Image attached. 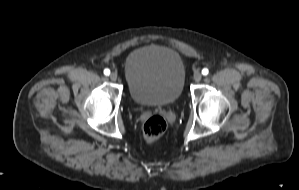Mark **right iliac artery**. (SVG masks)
<instances>
[{
	"label": "right iliac artery",
	"mask_w": 299,
	"mask_h": 190,
	"mask_svg": "<svg viewBox=\"0 0 299 190\" xmlns=\"http://www.w3.org/2000/svg\"><path fill=\"white\" fill-rule=\"evenodd\" d=\"M104 74H105L106 76H108V75L110 74V70L106 68V69L104 70Z\"/></svg>",
	"instance_id": "obj_1"
}]
</instances>
